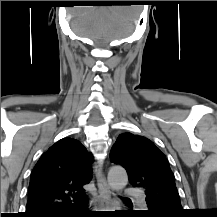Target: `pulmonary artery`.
Instances as JSON below:
<instances>
[{
	"mask_svg": "<svg viewBox=\"0 0 217 217\" xmlns=\"http://www.w3.org/2000/svg\"><path fill=\"white\" fill-rule=\"evenodd\" d=\"M124 195L126 197H135V198H138L141 200L142 203H144V198H143V194L137 190V189H134V188H130V187H126L124 188Z\"/></svg>",
	"mask_w": 217,
	"mask_h": 217,
	"instance_id": "pulmonary-artery-1",
	"label": "pulmonary artery"
}]
</instances>
